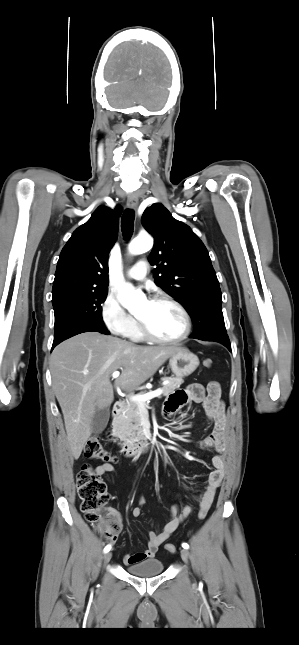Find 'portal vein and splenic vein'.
Returning <instances> with one entry per match:
<instances>
[{
	"label": "portal vein and splenic vein",
	"instance_id": "obj_1",
	"mask_svg": "<svg viewBox=\"0 0 299 645\" xmlns=\"http://www.w3.org/2000/svg\"><path fill=\"white\" fill-rule=\"evenodd\" d=\"M119 375H120V372L115 371V372L112 373L111 376H112V378H118ZM162 393H163V391L161 389H157L155 391H151V392H148L146 394L132 396L131 400L135 401V402H137L139 404H144L146 401H149V400H151V399H153L155 397H158Z\"/></svg>",
	"mask_w": 299,
	"mask_h": 645
}]
</instances>
